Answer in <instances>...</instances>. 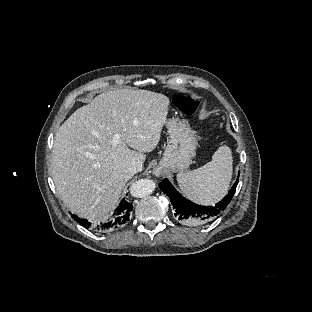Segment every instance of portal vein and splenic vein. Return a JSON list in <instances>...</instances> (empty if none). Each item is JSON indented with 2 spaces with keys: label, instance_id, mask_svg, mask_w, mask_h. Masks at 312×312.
I'll return each mask as SVG.
<instances>
[{
  "label": "portal vein and splenic vein",
  "instance_id": "18ae733b",
  "mask_svg": "<svg viewBox=\"0 0 312 312\" xmlns=\"http://www.w3.org/2000/svg\"><path fill=\"white\" fill-rule=\"evenodd\" d=\"M119 140H120V135L119 134H115L113 136V143L114 144H118L119 143Z\"/></svg>",
  "mask_w": 312,
  "mask_h": 312
}]
</instances>
